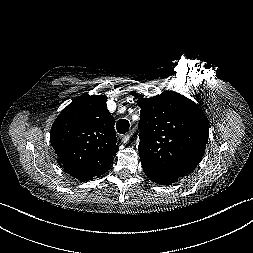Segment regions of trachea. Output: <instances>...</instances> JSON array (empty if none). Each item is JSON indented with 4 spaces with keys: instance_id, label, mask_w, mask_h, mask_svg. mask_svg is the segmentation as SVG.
Instances as JSON below:
<instances>
[{
    "instance_id": "obj_1",
    "label": "trachea",
    "mask_w": 253,
    "mask_h": 253,
    "mask_svg": "<svg viewBox=\"0 0 253 253\" xmlns=\"http://www.w3.org/2000/svg\"><path fill=\"white\" fill-rule=\"evenodd\" d=\"M116 129L118 133L125 134L129 130V121L126 119H120L116 123Z\"/></svg>"
}]
</instances>
